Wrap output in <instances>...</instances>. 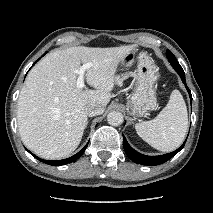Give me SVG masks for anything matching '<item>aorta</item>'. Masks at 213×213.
Masks as SVG:
<instances>
[{"mask_svg":"<svg viewBox=\"0 0 213 213\" xmlns=\"http://www.w3.org/2000/svg\"><path fill=\"white\" fill-rule=\"evenodd\" d=\"M107 121L112 126H119L123 123V114L119 111H112L107 115Z\"/></svg>","mask_w":213,"mask_h":213,"instance_id":"762f6f07","label":"aorta"}]
</instances>
